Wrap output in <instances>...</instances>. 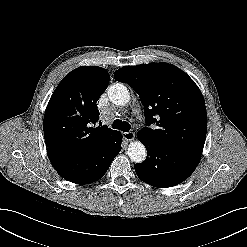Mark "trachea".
I'll return each instance as SVG.
<instances>
[{
  "instance_id": "3493384b",
  "label": "trachea",
  "mask_w": 247,
  "mask_h": 247,
  "mask_svg": "<svg viewBox=\"0 0 247 247\" xmlns=\"http://www.w3.org/2000/svg\"><path fill=\"white\" fill-rule=\"evenodd\" d=\"M113 129H119L123 132H128L130 130V124L126 121H122L120 119L114 120L112 124Z\"/></svg>"
}]
</instances>
